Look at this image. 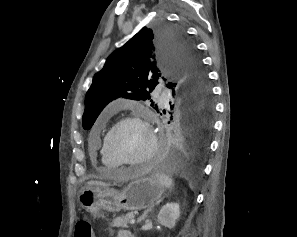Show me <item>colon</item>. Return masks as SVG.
Instances as JSON below:
<instances>
[{"label": "colon", "instance_id": "obj_1", "mask_svg": "<svg viewBox=\"0 0 297 237\" xmlns=\"http://www.w3.org/2000/svg\"><path fill=\"white\" fill-rule=\"evenodd\" d=\"M75 237H94L91 223L87 219H80L75 226Z\"/></svg>", "mask_w": 297, "mask_h": 237}]
</instances>
